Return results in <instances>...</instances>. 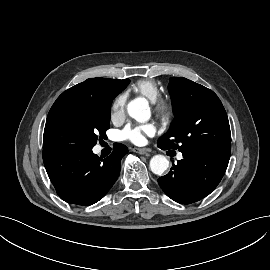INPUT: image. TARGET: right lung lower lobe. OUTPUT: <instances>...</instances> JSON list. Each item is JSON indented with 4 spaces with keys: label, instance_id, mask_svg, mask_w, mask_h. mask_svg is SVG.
I'll use <instances>...</instances> for the list:
<instances>
[{
    "label": "right lung lower lobe",
    "instance_id": "obj_1",
    "mask_svg": "<svg viewBox=\"0 0 270 270\" xmlns=\"http://www.w3.org/2000/svg\"><path fill=\"white\" fill-rule=\"evenodd\" d=\"M127 152L125 145L116 144L111 155L102 160L92 149H50L43 150V161L60 198L88 206L103 198L113 186Z\"/></svg>",
    "mask_w": 270,
    "mask_h": 270
}]
</instances>
